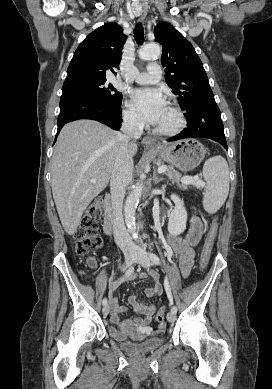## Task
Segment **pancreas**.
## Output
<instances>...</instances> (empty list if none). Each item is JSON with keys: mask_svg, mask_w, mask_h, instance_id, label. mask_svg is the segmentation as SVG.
Returning a JSON list of instances; mask_svg holds the SVG:
<instances>
[{"mask_svg": "<svg viewBox=\"0 0 272 389\" xmlns=\"http://www.w3.org/2000/svg\"><path fill=\"white\" fill-rule=\"evenodd\" d=\"M167 168L166 175L172 179V183H176L181 190H186L188 185L197 186L194 183H183L181 174L177 172L172 166H165ZM193 178V177H192Z\"/></svg>", "mask_w": 272, "mask_h": 389, "instance_id": "1", "label": "pancreas"}]
</instances>
